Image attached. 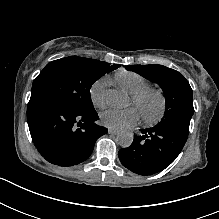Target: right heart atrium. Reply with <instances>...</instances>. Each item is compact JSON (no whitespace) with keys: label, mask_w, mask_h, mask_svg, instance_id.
Returning <instances> with one entry per match:
<instances>
[{"label":"right heart atrium","mask_w":219,"mask_h":219,"mask_svg":"<svg viewBox=\"0 0 219 219\" xmlns=\"http://www.w3.org/2000/svg\"><path fill=\"white\" fill-rule=\"evenodd\" d=\"M107 80L105 78H100L94 81L89 89L88 94L90 101L95 107L103 108L107 105Z\"/></svg>","instance_id":"d8ad5b80"}]
</instances>
